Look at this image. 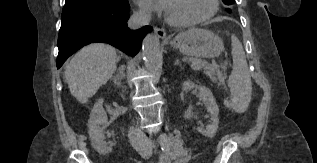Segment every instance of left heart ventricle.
<instances>
[{"label": "left heart ventricle", "mask_w": 317, "mask_h": 163, "mask_svg": "<svg viewBox=\"0 0 317 163\" xmlns=\"http://www.w3.org/2000/svg\"><path fill=\"white\" fill-rule=\"evenodd\" d=\"M210 0H169L165 14L174 21H190L205 15Z\"/></svg>", "instance_id": "left-heart-ventricle-1"}]
</instances>
